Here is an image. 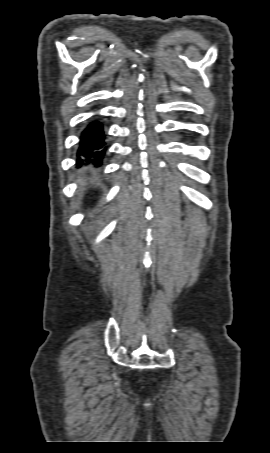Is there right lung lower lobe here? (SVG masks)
<instances>
[{
    "label": "right lung lower lobe",
    "instance_id": "obj_1",
    "mask_svg": "<svg viewBox=\"0 0 270 453\" xmlns=\"http://www.w3.org/2000/svg\"><path fill=\"white\" fill-rule=\"evenodd\" d=\"M107 150L105 142L104 126L98 119H93L80 135L79 148L77 151V163L83 160L93 161L99 165Z\"/></svg>",
    "mask_w": 270,
    "mask_h": 453
}]
</instances>
